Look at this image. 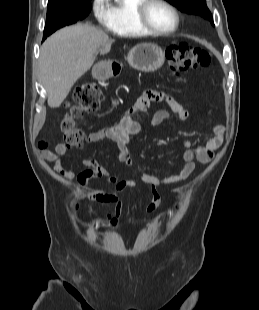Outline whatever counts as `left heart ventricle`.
Returning <instances> with one entry per match:
<instances>
[{
  "label": "left heart ventricle",
  "mask_w": 259,
  "mask_h": 310,
  "mask_svg": "<svg viewBox=\"0 0 259 310\" xmlns=\"http://www.w3.org/2000/svg\"><path fill=\"white\" fill-rule=\"evenodd\" d=\"M147 16L149 22L159 30H170L175 26L174 14L160 3L150 5Z\"/></svg>",
  "instance_id": "left-heart-ventricle-1"
}]
</instances>
